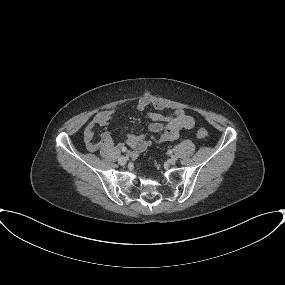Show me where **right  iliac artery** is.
I'll use <instances>...</instances> for the list:
<instances>
[{
    "label": "right iliac artery",
    "mask_w": 285,
    "mask_h": 285,
    "mask_svg": "<svg viewBox=\"0 0 285 285\" xmlns=\"http://www.w3.org/2000/svg\"><path fill=\"white\" fill-rule=\"evenodd\" d=\"M126 151H127V149H126V148L122 149V152H126Z\"/></svg>",
    "instance_id": "1"
}]
</instances>
